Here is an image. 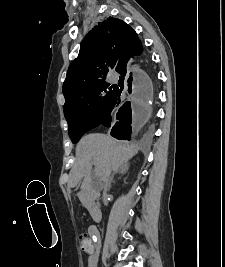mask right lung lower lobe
Segmentation results:
<instances>
[{
  "instance_id": "98d812e1",
  "label": "right lung lower lobe",
  "mask_w": 225,
  "mask_h": 267,
  "mask_svg": "<svg viewBox=\"0 0 225 267\" xmlns=\"http://www.w3.org/2000/svg\"><path fill=\"white\" fill-rule=\"evenodd\" d=\"M142 51H143V48H142V44L140 42L132 49V51H130L127 54L121 69L117 72L122 74V76H125L126 74H131L130 70L132 68V59L135 56L141 55ZM143 76H144L145 85L148 88H150L151 87L150 78L146 75H143ZM131 82H132V77L130 76L128 79V83H129L128 84V92L129 93L132 92ZM121 94H122V89L118 88V86H117L116 94L114 95L113 100H112L108 110L105 112V114L103 115L101 121L98 123L97 126L103 125L105 127H112V131H111L112 136H114L118 139H128L129 140L130 134H131L130 121H128V123H123V119L119 118V116H118L119 113H117V118L120 119L121 122H119L113 126L114 115L112 114V111L115 110L119 106V104L121 103V99H120ZM133 94L139 95V97H141L143 99L147 97V93H145L144 91L142 92L140 90V88L137 85L136 80L134 81V84H133ZM120 109H119V112H120Z\"/></svg>"
}]
</instances>
